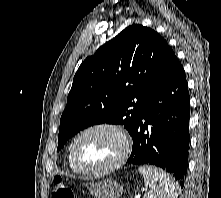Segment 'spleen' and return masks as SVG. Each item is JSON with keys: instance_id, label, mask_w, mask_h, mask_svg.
Masks as SVG:
<instances>
[{"instance_id": "obj_1", "label": "spleen", "mask_w": 221, "mask_h": 198, "mask_svg": "<svg viewBox=\"0 0 221 198\" xmlns=\"http://www.w3.org/2000/svg\"><path fill=\"white\" fill-rule=\"evenodd\" d=\"M138 171L148 189L145 198H178L176 183L168 173L150 165L140 166Z\"/></svg>"}]
</instances>
